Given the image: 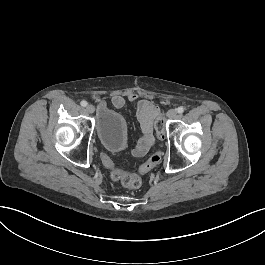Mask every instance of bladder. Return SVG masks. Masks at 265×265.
I'll use <instances>...</instances> for the list:
<instances>
[{
  "label": "bladder",
  "mask_w": 265,
  "mask_h": 265,
  "mask_svg": "<svg viewBox=\"0 0 265 265\" xmlns=\"http://www.w3.org/2000/svg\"><path fill=\"white\" fill-rule=\"evenodd\" d=\"M96 134L100 144L111 152L124 150L128 144V128L124 116L104 108L97 117Z\"/></svg>",
  "instance_id": "bladder-1"
}]
</instances>
